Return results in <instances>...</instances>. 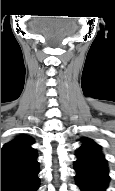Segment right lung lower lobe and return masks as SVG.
<instances>
[{
	"label": "right lung lower lobe",
	"mask_w": 115,
	"mask_h": 191,
	"mask_svg": "<svg viewBox=\"0 0 115 191\" xmlns=\"http://www.w3.org/2000/svg\"><path fill=\"white\" fill-rule=\"evenodd\" d=\"M39 168L29 173L1 176V191H37Z\"/></svg>",
	"instance_id": "1"
}]
</instances>
